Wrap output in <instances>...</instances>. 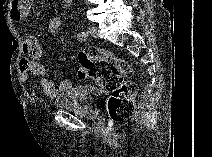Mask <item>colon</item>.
<instances>
[{
    "mask_svg": "<svg viewBox=\"0 0 212 157\" xmlns=\"http://www.w3.org/2000/svg\"><path fill=\"white\" fill-rule=\"evenodd\" d=\"M78 58V77L93 79L109 93L110 118L117 123L127 120L133 113V98L137 93V83L130 79L133 74L131 65L102 48L82 49Z\"/></svg>",
    "mask_w": 212,
    "mask_h": 157,
    "instance_id": "5ec220e1",
    "label": "colon"
}]
</instances>
